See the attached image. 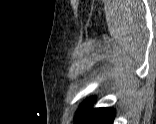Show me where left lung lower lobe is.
<instances>
[{"instance_id":"obj_1","label":"left lung lower lobe","mask_w":156,"mask_h":124,"mask_svg":"<svg viewBox=\"0 0 156 124\" xmlns=\"http://www.w3.org/2000/svg\"><path fill=\"white\" fill-rule=\"evenodd\" d=\"M115 110L111 108H95L88 110L79 124H113Z\"/></svg>"}]
</instances>
